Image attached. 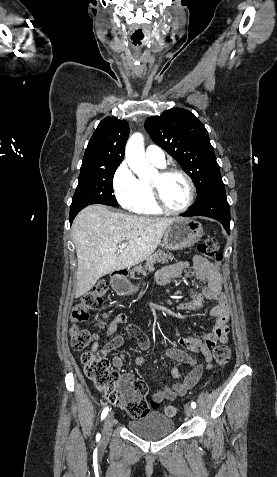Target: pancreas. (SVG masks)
Here are the masks:
<instances>
[{
  "instance_id": "cf45deb5",
  "label": "pancreas",
  "mask_w": 277,
  "mask_h": 477,
  "mask_svg": "<svg viewBox=\"0 0 277 477\" xmlns=\"http://www.w3.org/2000/svg\"><path fill=\"white\" fill-rule=\"evenodd\" d=\"M174 257L170 252H165L163 250H158L155 254L151 255L146 259L144 266H139L135 268V271L143 275L146 274V271H154V264L158 263H167L168 260H173Z\"/></svg>"
}]
</instances>
